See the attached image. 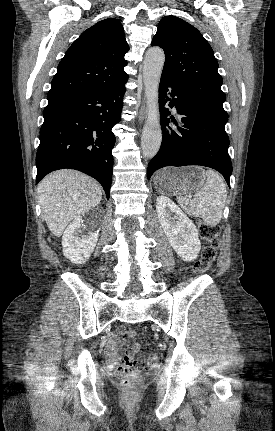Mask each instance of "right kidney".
Here are the masks:
<instances>
[{"instance_id":"right-kidney-1","label":"right kidney","mask_w":275,"mask_h":431,"mask_svg":"<svg viewBox=\"0 0 275 431\" xmlns=\"http://www.w3.org/2000/svg\"><path fill=\"white\" fill-rule=\"evenodd\" d=\"M81 216L74 220L66 228L62 237L63 254L71 262L76 264L85 263L93 252L98 241V231H90L87 235L78 237V229L82 226Z\"/></svg>"}]
</instances>
